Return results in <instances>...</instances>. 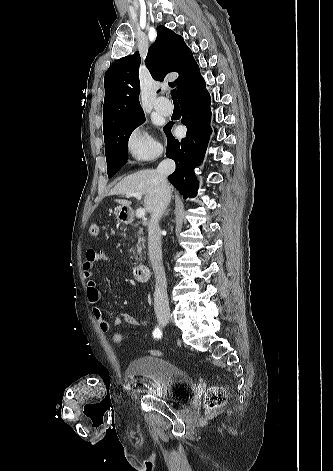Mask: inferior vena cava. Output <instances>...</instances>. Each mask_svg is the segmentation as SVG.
<instances>
[{"instance_id":"1","label":"inferior vena cava","mask_w":333,"mask_h":471,"mask_svg":"<svg viewBox=\"0 0 333 471\" xmlns=\"http://www.w3.org/2000/svg\"><path fill=\"white\" fill-rule=\"evenodd\" d=\"M175 170V162L171 159L163 160L157 167L159 182V196L154 206L148 225V251L149 259L155 274L154 309L157 314L169 313L167 283L162 261L161 232L159 220L164 214L171 199L170 186L167 177Z\"/></svg>"}]
</instances>
